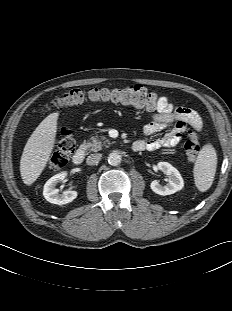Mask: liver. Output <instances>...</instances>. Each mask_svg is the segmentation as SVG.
<instances>
[{"instance_id":"6515ba94","label":"liver","mask_w":232,"mask_h":311,"mask_svg":"<svg viewBox=\"0 0 232 311\" xmlns=\"http://www.w3.org/2000/svg\"><path fill=\"white\" fill-rule=\"evenodd\" d=\"M58 112L49 114L28 139L20 160L23 182L30 186L45 169L55 144Z\"/></svg>"}]
</instances>
